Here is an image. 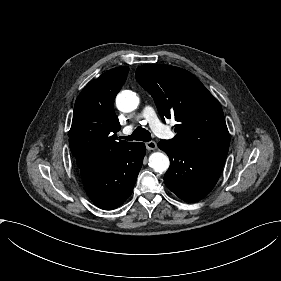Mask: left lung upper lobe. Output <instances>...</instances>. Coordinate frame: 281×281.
<instances>
[{
  "label": "left lung upper lobe",
  "instance_id": "obj_1",
  "mask_svg": "<svg viewBox=\"0 0 281 281\" xmlns=\"http://www.w3.org/2000/svg\"><path fill=\"white\" fill-rule=\"evenodd\" d=\"M139 84L153 97L160 116L178 122L169 142L189 153L227 155L229 132L222 108L205 86L187 70L145 64L136 70Z\"/></svg>",
  "mask_w": 281,
  "mask_h": 281
}]
</instances>
